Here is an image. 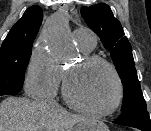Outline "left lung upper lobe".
<instances>
[{"label": "left lung upper lobe", "instance_id": "1", "mask_svg": "<svg viewBox=\"0 0 151 131\" xmlns=\"http://www.w3.org/2000/svg\"><path fill=\"white\" fill-rule=\"evenodd\" d=\"M81 15L90 29L100 37L104 47L110 51L124 89L121 112L146 109L133 61L131 44L124 36L119 20L114 17L110 7L105 3L84 6L81 8Z\"/></svg>", "mask_w": 151, "mask_h": 131}]
</instances>
